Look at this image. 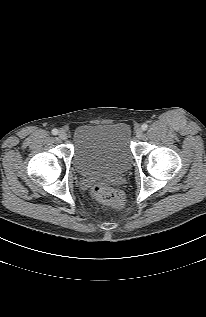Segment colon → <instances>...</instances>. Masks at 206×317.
<instances>
[{
    "instance_id": "5ec220e1",
    "label": "colon",
    "mask_w": 206,
    "mask_h": 317,
    "mask_svg": "<svg viewBox=\"0 0 206 317\" xmlns=\"http://www.w3.org/2000/svg\"><path fill=\"white\" fill-rule=\"evenodd\" d=\"M91 194L94 200L100 204H109L117 207H122L124 204L122 194L106 183L95 184L91 189Z\"/></svg>"
}]
</instances>
